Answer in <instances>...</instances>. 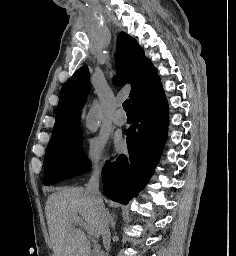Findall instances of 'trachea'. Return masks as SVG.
Instances as JSON below:
<instances>
[{"instance_id": "3493384b", "label": "trachea", "mask_w": 236, "mask_h": 256, "mask_svg": "<svg viewBox=\"0 0 236 256\" xmlns=\"http://www.w3.org/2000/svg\"><path fill=\"white\" fill-rule=\"evenodd\" d=\"M123 108L126 111V113H133L130 100H125L123 102Z\"/></svg>"}]
</instances>
